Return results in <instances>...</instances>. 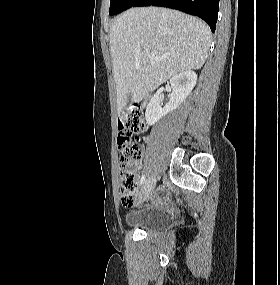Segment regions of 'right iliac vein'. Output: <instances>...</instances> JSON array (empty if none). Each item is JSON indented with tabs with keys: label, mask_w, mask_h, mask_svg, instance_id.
<instances>
[{
	"label": "right iliac vein",
	"mask_w": 280,
	"mask_h": 285,
	"mask_svg": "<svg viewBox=\"0 0 280 285\" xmlns=\"http://www.w3.org/2000/svg\"><path fill=\"white\" fill-rule=\"evenodd\" d=\"M155 187L154 177H150L143 185L140 193V202L145 201L150 197Z\"/></svg>",
	"instance_id": "obj_1"
}]
</instances>
